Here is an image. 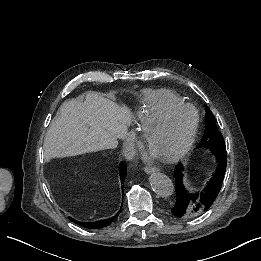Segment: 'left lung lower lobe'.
<instances>
[{
    "label": "left lung lower lobe",
    "instance_id": "0a47b994",
    "mask_svg": "<svg viewBox=\"0 0 261 261\" xmlns=\"http://www.w3.org/2000/svg\"><path fill=\"white\" fill-rule=\"evenodd\" d=\"M213 152V151H212ZM217 158L214 174L207 186L200 192L189 193L184 186V167L180 163L174 171L176 202L171 212L178 218L193 217L206 211L216 199L225 175L227 166L226 151L213 152Z\"/></svg>",
    "mask_w": 261,
    "mask_h": 261
}]
</instances>
